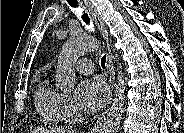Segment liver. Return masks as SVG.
<instances>
[{
	"instance_id": "obj_1",
	"label": "liver",
	"mask_w": 184,
	"mask_h": 133,
	"mask_svg": "<svg viewBox=\"0 0 184 133\" xmlns=\"http://www.w3.org/2000/svg\"><path fill=\"white\" fill-rule=\"evenodd\" d=\"M32 133H72L71 130L67 129H56V128H40V129H34Z\"/></svg>"
}]
</instances>
